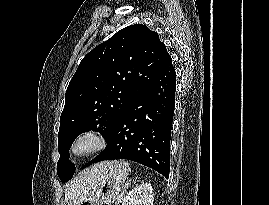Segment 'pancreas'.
Segmentation results:
<instances>
[{"label": "pancreas", "instance_id": "1", "mask_svg": "<svg viewBox=\"0 0 269 205\" xmlns=\"http://www.w3.org/2000/svg\"><path fill=\"white\" fill-rule=\"evenodd\" d=\"M121 199H123V197H121L119 201H121Z\"/></svg>", "mask_w": 269, "mask_h": 205}]
</instances>
